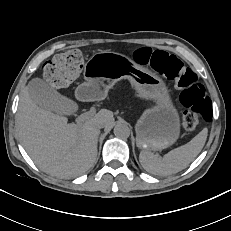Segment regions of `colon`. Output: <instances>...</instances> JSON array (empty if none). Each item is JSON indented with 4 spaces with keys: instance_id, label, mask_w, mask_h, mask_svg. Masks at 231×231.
I'll return each mask as SVG.
<instances>
[{
    "instance_id": "obj_1",
    "label": "colon",
    "mask_w": 231,
    "mask_h": 231,
    "mask_svg": "<svg viewBox=\"0 0 231 231\" xmlns=\"http://www.w3.org/2000/svg\"><path fill=\"white\" fill-rule=\"evenodd\" d=\"M137 62L149 65L155 72L173 80L181 89L180 101L185 108L180 125L185 131L194 130L202 121L211 118L212 106L205 87L193 70L186 67L175 55L162 50L144 47L134 53ZM84 58L80 51L70 50L45 63V79L53 86L69 84L82 71Z\"/></svg>"
}]
</instances>
